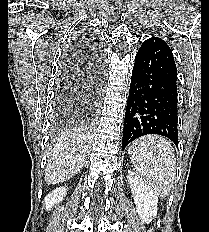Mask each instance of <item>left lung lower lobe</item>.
<instances>
[{"instance_id": "left-lung-lower-lobe-1", "label": "left lung lower lobe", "mask_w": 209, "mask_h": 232, "mask_svg": "<svg viewBox=\"0 0 209 232\" xmlns=\"http://www.w3.org/2000/svg\"><path fill=\"white\" fill-rule=\"evenodd\" d=\"M177 69L165 41L152 37L135 57L125 113L122 150L148 134L170 139L178 146Z\"/></svg>"}]
</instances>
